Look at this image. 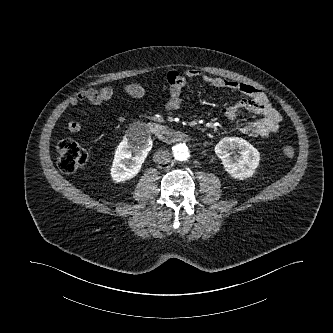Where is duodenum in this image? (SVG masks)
<instances>
[{"label":"duodenum","instance_id":"obj_1","mask_svg":"<svg viewBox=\"0 0 333 333\" xmlns=\"http://www.w3.org/2000/svg\"><path fill=\"white\" fill-rule=\"evenodd\" d=\"M147 130L150 134L165 143H176L189 139V136L187 134L155 122L149 123L147 125Z\"/></svg>","mask_w":333,"mask_h":333}]
</instances>
